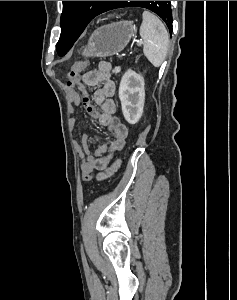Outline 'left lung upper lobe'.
<instances>
[{
  "mask_svg": "<svg viewBox=\"0 0 237 300\" xmlns=\"http://www.w3.org/2000/svg\"><path fill=\"white\" fill-rule=\"evenodd\" d=\"M61 35L56 45L57 52L64 56L70 50L89 22L105 12L111 1H62ZM142 7L160 16L167 27L172 29V9L170 1L160 8V1H121L120 8Z\"/></svg>",
  "mask_w": 237,
  "mask_h": 300,
  "instance_id": "5c2ea615",
  "label": "left lung upper lobe"
}]
</instances>
